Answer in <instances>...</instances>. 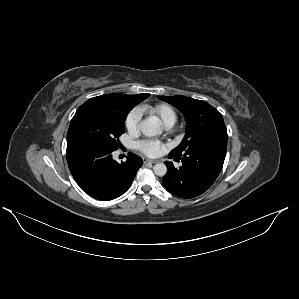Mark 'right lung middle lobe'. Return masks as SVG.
<instances>
[{
    "mask_svg": "<svg viewBox=\"0 0 299 299\" xmlns=\"http://www.w3.org/2000/svg\"><path fill=\"white\" fill-rule=\"evenodd\" d=\"M137 102L119 98L110 104L80 106L71 120L67 146L99 144L117 149L130 110Z\"/></svg>",
    "mask_w": 299,
    "mask_h": 299,
    "instance_id": "dd1d6c3e",
    "label": "right lung middle lobe"
}]
</instances>
